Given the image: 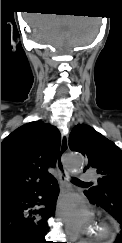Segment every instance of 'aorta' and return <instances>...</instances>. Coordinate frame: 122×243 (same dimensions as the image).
Returning <instances> with one entry per match:
<instances>
[{"instance_id":"1","label":"aorta","mask_w":122,"mask_h":243,"mask_svg":"<svg viewBox=\"0 0 122 243\" xmlns=\"http://www.w3.org/2000/svg\"><path fill=\"white\" fill-rule=\"evenodd\" d=\"M84 164V159L80 155L71 154L66 159V168L72 174L79 173ZM78 243H86L85 241H80Z\"/></svg>"}]
</instances>
